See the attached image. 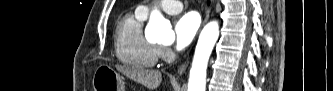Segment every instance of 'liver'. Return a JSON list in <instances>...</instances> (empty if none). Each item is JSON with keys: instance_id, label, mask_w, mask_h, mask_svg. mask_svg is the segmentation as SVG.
Returning <instances> with one entry per match:
<instances>
[{"instance_id": "obj_1", "label": "liver", "mask_w": 333, "mask_h": 91, "mask_svg": "<svg viewBox=\"0 0 333 91\" xmlns=\"http://www.w3.org/2000/svg\"><path fill=\"white\" fill-rule=\"evenodd\" d=\"M115 67L119 72L148 89L154 90L161 84L162 74L157 70L122 65H116Z\"/></svg>"}]
</instances>
